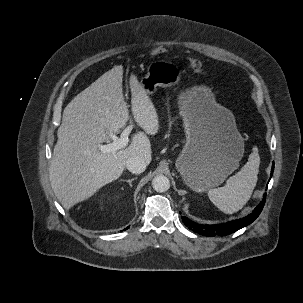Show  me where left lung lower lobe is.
<instances>
[{
	"label": "left lung lower lobe",
	"instance_id": "1",
	"mask_svg": "<svg viewBox=\"0 0 303 303\" xmlns=\"http://www.w3.org/2000/svg\"><path fill=\"white\" fill-rule=\"evenodd\" d=\"M273 171H274V164L272 165L271 176L273 174ZM265 197L266 194H264L263 201L260 202V204L253 210V212L242 219L233 220L227 223L216 224V225L197 224L185 216L182 217V221L193 232H196L203 236H211V237L226 236L252 223L261 213L263 206L265 204Z\"/></svg>",
	"mask_w": 303,
	"mask_h": 303
}]
</instances>
